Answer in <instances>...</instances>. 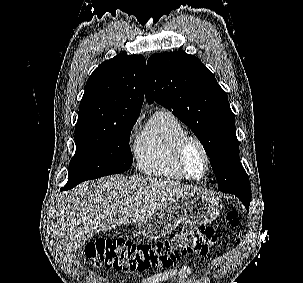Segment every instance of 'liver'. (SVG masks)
I'll return each mask as SVG.
<instances>
[{
	"label": "liver",
	"mask_w": 303,
	"mask_h": 283,
	"mask_svg": "<svg viewBox=\"0 0 303 283\" xmlns=\"http://www.w3.org/2000/svg\"><path fill=\"white\" fill-rule=\"evenodd\" d=\"M196 192L195 187L152 177L113 175L84 183L64 194L56 236L71 258L94 234L140 222L172 200Z\"/></svg>",
	"instance_id": "6515ba94"
}]
</instances>
